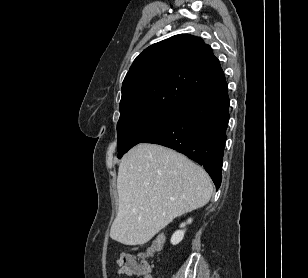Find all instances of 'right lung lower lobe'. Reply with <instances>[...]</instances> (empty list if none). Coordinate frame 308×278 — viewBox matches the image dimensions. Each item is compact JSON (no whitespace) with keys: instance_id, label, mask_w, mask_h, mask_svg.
<instances>
[{"instance_id":"98d812e1","label":"right lung lower lobe","mask_w":308,"mask_h":278,"mask_svg":"<svg viewBox=\"0 0 308 278\" xmlns=\"http://www.w3.org/2000/svg\"><path fill=\"white\" fill-rule=\"evenodd\" d=\"M229 121L227 83L178 109L177 115L143 143L172 148L203 165L220 187L223 150Z\"/></svg>"}]
</instances>
